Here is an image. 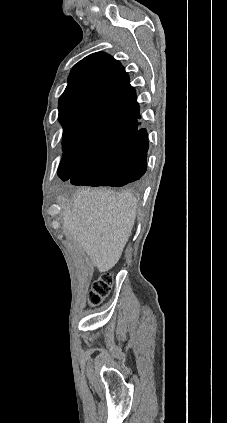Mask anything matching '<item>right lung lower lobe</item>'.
I'll return each instance as SVG.
<instances>
[{
	"label": "right lung lower lobe",
	"mask_w": 227,
	"mask_h": 423,
	"mask_svg": "<svg viewBox=\"0 0 227 423\" xmlns=\"http://www.w3.org/2000/svg\"><path fill=\"white\" fill-rule=\"evenodd\" d=\"M109 121H124L139 127V106L136 98L103 112ZM148 138L145 129H138L127 139L91 154L69 177L68 165L62 160L58 175L73 185L121 187L135 182L146 172Z\"/></svg>",
	"instance_id": "1"
}]
</instances>
